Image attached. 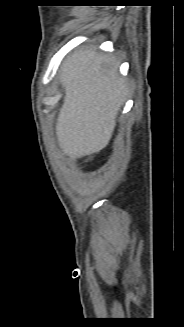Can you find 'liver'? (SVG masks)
Listing matches in <instances>:
<instances>
[{"label":"liver","mask_w":184,"mask_h":327,"mask_svg":"<svg viewBox=\"0 0 184 327\" xmlns=\"http://www.w3.org/2000/svg\"><path fill=\"white\" fill-rule=\"evenodd\" d=\"M64 103L56 123L59 147L71 158L105 148L126 96L118 63L95 50L75 51L62 64Z\"/></svg>","instance_id":"liver-1"}]
</instances>
